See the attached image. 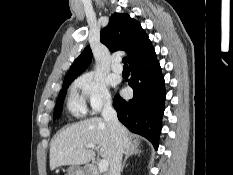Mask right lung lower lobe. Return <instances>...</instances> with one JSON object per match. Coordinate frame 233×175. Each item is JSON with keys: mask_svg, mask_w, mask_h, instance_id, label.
Segmentation results:
<instances>
[{"mask_svg": "<svg viewBox=\"0 0 233 175\" xmlns=\"http://www.w3.org/2000/svg\"><path fill=\"white\" fill-rule=\"evenodd\" d=\"M129 65L131 77L127 82L134 96L131 100H124L116 95L114 108L121 123L158 148L166 97L160 64L153 50Z\"/></svg>", "mask_w": 233, "mask_h": 175, "instance_id": "98d812e1", "label": "right lung lower lobe"}]
</instances>
